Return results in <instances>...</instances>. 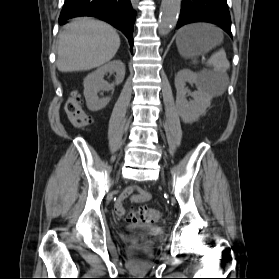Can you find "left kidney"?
<instances>
[{
    "label": "left kidney",
    "instance_id": "5707ae66",
    "mask_svg": "<svg viewBox=\"0 0 279 279\" xmlns=\"http://www.w3.org/2000/svg\"><path fill=\"white\" fill-rule=\"evenodd\" d=\"M186 82L194 83L197 91L191 92ZM176 108L184 123H193L205 114L210 106L212 95L208 91L204 73H194L190 69H182L175 76ZM186 94L193 100L187 101Z\"/></svg>",
    "mask_w": 279,
    "mask_h": 279
}]
</instances>
